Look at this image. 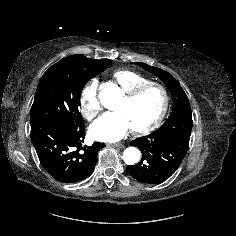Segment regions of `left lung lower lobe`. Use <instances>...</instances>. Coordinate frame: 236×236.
I'll use <instances>...</instances> for the list:
<instances>
[{"instance_id":"0a47b994","label":"left lung lower lobe","mask_w":236,"mask_h":236,"mask_svg":"<svg viewBox=\"0 0 236 236\" xmlns=\"http://www.w3.org/2000/svg\"><path fill=\"white\" fill-rule=\"evenodd\" d=\"M191 109L171 113L165 123L151 134L130 142L142 151L136 165H128L127 172L134 179L149 184L162 183L180 166L188 150L192 131Z\"/></svg>"}]
</instances>
